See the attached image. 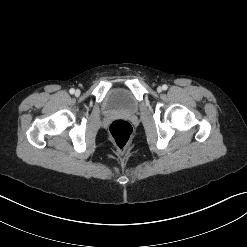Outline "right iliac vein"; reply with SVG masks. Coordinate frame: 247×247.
I'll use <instances>...</instances> for the list:
<instances>
[{"mask_svg":"<svg viewBox=\"0 0 247 247\" xmlns=\"http://www.w3.org/2000/svg\"><path fill=\"white\" fill-rule=\"evenodd\" d=\"M75 95L79 96L80 95V90H76Z\"/></svg>","mask_w":247,"mask_h":247,"instance_id":"right-iliac-vein-1","label":"right iliac vein"}]
</instances>
